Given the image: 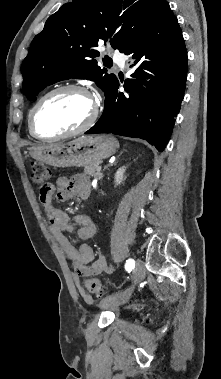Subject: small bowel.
I'll return each mask as SVG.
<instances>
[{
	"label": "small bowel",
	"mask_w": 221,
	"mask_h": 379,
	"mask_svg": "<svg viewBox=\"0 0 221 379\" xmlns=\"http://www.w3.org/2000/svg\"><path fill=\"white\" fill-rule=\"evenodd\" d=\"M56 186L57 198L60 201L70 200L74 197L87 198L90 193V184L83 177H77L73 180L67 177H59ZM52 196V186L46 196H40L41 204L44 206L50 221V232L72 264V277L79 293L86 301L90 302L92 298L86 294L80 285V278L102 273L113 274L115 269L108 264L104 255L99 254L95 258V253L89 245L81 244L76 247L71 242L68 237L69 233L76 231L81 240H88L95 235L96 226L87 215L70 217L64 211L54 207Z\"/></svg>",
	"instance_id": "obj_1"
}]
</instances>
